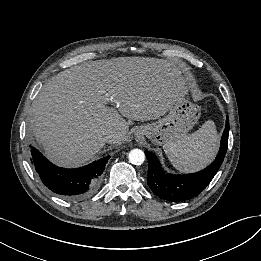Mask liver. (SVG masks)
<instances>
[{
	"label": "liver",
	"instance_id": "liver-1",
	"mask_svg": "<svg viewBox=\"0 0 261 261\" xmlns=\"http://www.w3.org/2000/svg\"><path fill=\"white\" fill-rule=\"evenodd\" d=\"M187 82L181 66L166 59L85 62L48 80L33 102L29 129L53 163L80 166L104 147L106 130L118 134L108 143L120 144L129 130L124 118H159L186 95Z\"/></svg>",
	"mask_w": 261,
	"mask_h": 261
}]
</instances>
